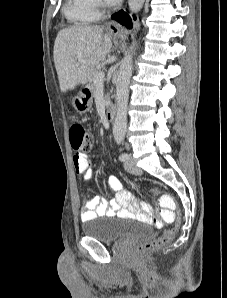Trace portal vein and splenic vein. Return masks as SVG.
<instances>
[{"label":"portal vein and splenic vein","instance_id":"portal-vein-and-splenic-vein-1","mask_svg":"<svg viewBox=\"0 0 227 298\" xmlns=\"http://www.w3.org/2000/svg\"><path fill=\"white\" fill-rule=\"evenodd\" d=\"M104 77H105V73L103 71L99 72L94 79V82L98 85V86H102L103 82H104Z\"/></svg>","mask_w":227,"mask_h":298}]
</instances>
